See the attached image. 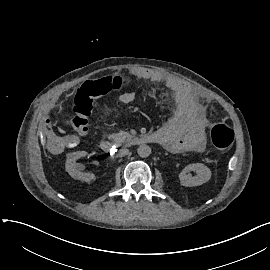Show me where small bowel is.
<instances>
[{
	"mask_svg": "<svg viewBox=\"0 0 270 270\" xmlns=\"http://www.w3.org/2000/svg\"><path fill=\"white\" fill-rule=\"evenodd\" d=\"M131 73L138 78L164 86L173 94L178 103L192 106L188 118H173L159 127L156 133L161 140V145L172 153L203 151L208 119L199 95L178 79L164 72L140 68ZM134 98L135 95L132 91H126L120 95L119 100L122 104H130ZM76 145L77 140L72 136L51 137L50 139V149L56 154L66 148H74Z\"/></svg>",
	"mask_w": 270,
	"mask_h": 270,
	"instance_id": "1",
	"label": "small bowel"
}]
</instances>
